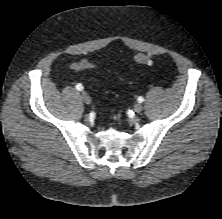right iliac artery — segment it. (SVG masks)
Masks as SVG:
<instances>
[{"mask_svg":"<svg viewBox=\"0 0 222 219\" xmlns=\"http://www.w3.org/2000/svg\"><path fill=\"white\" fill-rule=\"evenodd\" d=\"M76 89H77L78 91H82V90H83L82 84L78 83V84L76 85Z\"/></svg>","mask_w":222,"mask_h":219,"instance_id":"right-iliac-artery-1","label":"right iliac artery"}]
</instances>
